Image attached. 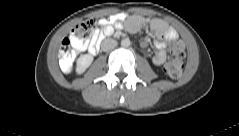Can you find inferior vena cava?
I'll return each instance as SVG.
<instances>
[{
	"instance_id": "1",
	"label": "inferior vena cava",
	"mask_w": 239,
	"mask_h": 136,
	"mask_svg": "<svg viewBox=\"0 0 239 136\" xmlns=\"http://www.w3.org/2000/svg\"><path fill=\"white\" fill-rule=\"evenodd\" d=\"M117 46V41L111 38L104 39L101 43V49L103 51H110Z\"/></svg>"
}]
</instances>
